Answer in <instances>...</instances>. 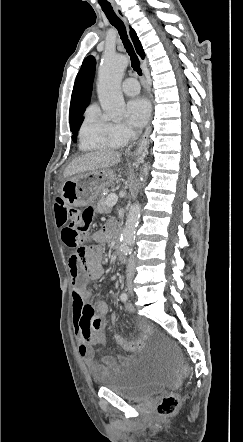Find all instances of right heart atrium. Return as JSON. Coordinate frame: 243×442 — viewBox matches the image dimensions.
Returning a JSON list of instances; mask_svg holds the SVG:
<instances>
[{
    "instance_id": "d8ad5b80",
    "label": "right heart atrium",
    "mask_w": 243,
    "mask_h": 442,
    "mask_svg": "<svg viewBox=\"0 0 243 442\" xmlns=\"http://www.w3.org/2000/svg\"><path fill=\"white\" fill-rule=\"evenodd\" d=\"M112 131L120 142L127 141L134 136V131L124 123L112 124Z\"/></svg>"
}]
</instances>
